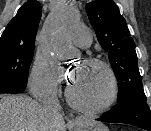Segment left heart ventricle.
<instances>
[{
	"label": "left heart ventricle",
	"mask_w": 151,
	"mask_h": 131,
	"mask_svg": "<svg viewBox=\"0 0 151 131\" xmlns=\"http://www.w3.org/2000/svg\"><path fill=\"white\" fill-rule=\"evenodd\" d=\"M70 89L78 100L95 105L102 102L109 92V79L98 66L77 65Z\"/></svg>",
	"instance_id": "b2bd125f"
}]
</instances>
